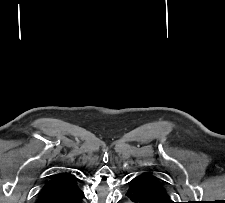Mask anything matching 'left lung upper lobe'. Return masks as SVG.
<instances>
[{"mask_svg":"<svg viewBox=\"0 0 225 203\" xmlns=\"http://www.w3.org/2000/svg\"><path fill=\"white\" fill-rule=\"evenodd\" d=\"M156 198L163 203H173L166 188L165 181L151 172H145L136 177Z\"/></svg>","mask_w":225,"mask_h":203,"instance_id":"5c2ea615","label":"left lung upper lobe"}]
</instances>
